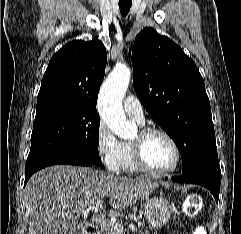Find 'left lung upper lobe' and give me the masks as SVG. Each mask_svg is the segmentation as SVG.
I'll use <instances>...</instances> for the list:
<instances>
[{
  "mask_svg": "<svg viewBox=\"0 0 241 234\" xmlns=\"http://www.w3.org/2000/svg\"><path fill=\"white\" fill-rule=\"evenodd\" d=\"M132 64L136 94L176 143L182 175L209 172L220 176L210 102L192 59L148 27L135 38Z\"/></svg>",
  "mask_w": 241,
  "mask_h": 234,
  "instance_id": "1",
  "label": "left lung upper lobe"
}]
</instances>
